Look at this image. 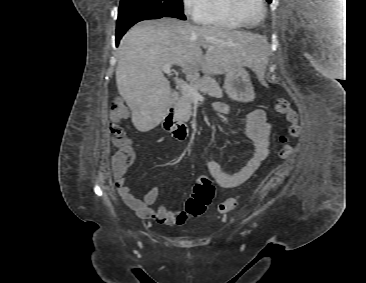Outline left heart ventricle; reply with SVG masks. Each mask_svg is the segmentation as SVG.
<instances>
[{
	"instance_id": "b2bd125f",
	"label": "left heart ventricle",
	"mask_w": 366,
	"mask_h": 283,
	"mask_svg": "<svg viewBox=\"0 0 366 283\" xmlns=\"http://www.w3.org/2000/svg\"><path fill=\"white\" fill-rule=\"evenodd\" d=\"M241 12L249 23H255L260 16L261 6L257 0H243Z\"/></svg>"
}]
</instances>
